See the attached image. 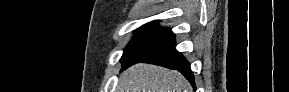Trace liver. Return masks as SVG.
<instances>
[{
    "instance_id": "6515ba94",
    "label": "liver",
    "mask_w": 289,
    "mask_h": 92,
    "mask_svg": "<svg viewBox=\"0 0 289 92\" xmlns=\"http://www.w3.org/2000/svg\"><path fill=\"white\" fill-rule=\"evenodd\" d=\"M119 92H190L189 82L178 72L150 64H136L119 79Z\"/></svg>"
}]
</instances>
